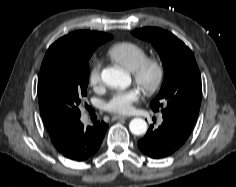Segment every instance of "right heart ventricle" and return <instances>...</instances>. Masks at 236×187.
Listing matches in <instances>:
<instances>
[{
    "label": "right heart ventricle",
    "mask_w": 236,
    "mask_h": 187,
    "mask_svg": "<svg viewBox=\"0 0 236 187\" xmlns=\"http://www.w3.org/2000/svg\"><path fill=\"white\" fill-rule=\"evenodd\" d=\"M107 56L111 61L131 72L147 57V52L137 43L121 41L109 47Z\"/></svg>",
    "instance_id": "obj_1"
}]
</instances>
